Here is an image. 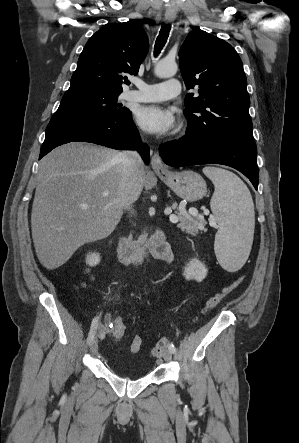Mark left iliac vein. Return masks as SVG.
Instances as JSON below:
<instances>
[{
  "label": "left iliac vein",
  "mask_w": 299,
  "mask_h": 443,
  "mask_svg": "<svg viewBox=\"0 0 299 443\" xmlns=\"http://www.w3.org/2000/svg\"><path fill=\"white\" fill-rule=\"evenodd\" d=\"M163 358L165 361L169 362L172 359V352L170 350H167L163 354Z\"/></svg>",
  "instance_id": "4c4485c4"
}]
</instances>
